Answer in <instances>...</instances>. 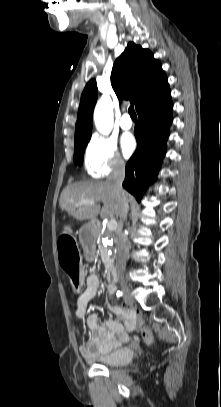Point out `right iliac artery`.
<instances>
[{
	"mask_svg": "<svg viewBox=\"0 0 221 407\" xmlns=\"http://www.w3.org/2000/svg\"><path fill=\"white\" fill-rule=\"evenodd\" d=\"M117 296H122V292L121 291H117Z\"/></svg>",
	"mask_w": 221,
	"mask_h": 407,
	"instance_id": "obj_1",
	"label": "right iliac artery"
}]
</instances>
